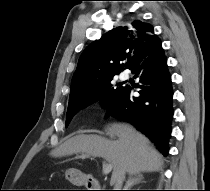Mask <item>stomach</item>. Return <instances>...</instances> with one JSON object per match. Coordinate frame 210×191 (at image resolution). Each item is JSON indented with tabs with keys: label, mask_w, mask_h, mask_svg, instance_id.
<instances>
[{
	"label": "stomach",
	"mask_w": 210,
	"mask_h": 191,
	"mask_svg": "<svg viewBox=\"0 0 210 191\" xmlns=\"http://www.w3.org/2000/svg\"><path fill=\"white\" fill-rule=\"evenodd\" d=\"M65 178L71 183L82 186L87 182V176L76 169H69L65 173Z\"/></svg>",
	"instance_id": "0dacf381"
}]
</instances>
